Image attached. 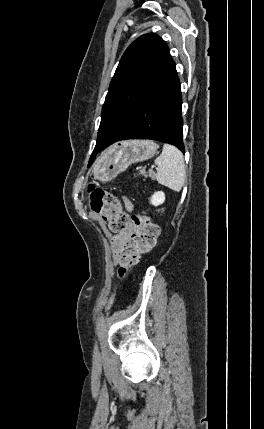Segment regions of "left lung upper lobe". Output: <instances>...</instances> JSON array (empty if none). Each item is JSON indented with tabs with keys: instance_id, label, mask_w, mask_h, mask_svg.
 Instances as JSON below:
<instances>
[{
	"instance_id": "1",
	"label": "left lung upper lobe",
	"mask_w": 264,
	"mask_h": 429,
	"mask_svg": "<svg viewBox=\"0 0 264 429\" xmlns=\"http://www.w3.org/2000/svg\"><path fill=\"white\" fill-rule=\"evenodd\" d=\"M169 57L168 46L156 34H144L127 48L109 86L93 152L110 146L124 134Z\"/></svg>"
}]
</instances>
